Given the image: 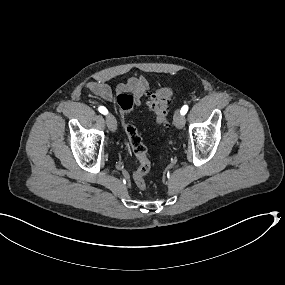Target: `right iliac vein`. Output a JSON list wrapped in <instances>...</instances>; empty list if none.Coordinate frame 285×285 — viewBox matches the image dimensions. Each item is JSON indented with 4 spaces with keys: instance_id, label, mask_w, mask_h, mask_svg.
Returning <instances> with one entry per match:
<instances>
[{
    "instance_id": "right-iliac-vein-1",
    "label": "right iliac vein",
    "mask_w": 285,
    "mask_h": 285,
    "mask_svg": "<svg viewBox=\"0 0 285 285\" xmlns=\"http://www.w3.org/2000/svg\"><path fill=\"white\" fill-rule=\"evenodd\" d=\"M106 122L110 131L115 132L117 129V122L115 117L112 114H109L108 116H106Z\"/></svg>"
}]
</instances>
